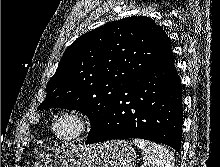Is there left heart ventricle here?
<instances>
[{"label": "left heart ventricle", "instance_id": "b2bd125f", "mask_svg": "<svg viewBox=\"0 0 220 167\" xmlns=\"http://www.w3.org/2000/svg\"><path fill=\"white\" fill-rule=\"evenodd\" d=\"M58 134L62 136H68L75 130V122L71 119H65L59 122L56 128Z\"/></svg>", "mask_w": 220, "mask_h": 167}]
</instances>
